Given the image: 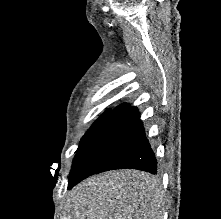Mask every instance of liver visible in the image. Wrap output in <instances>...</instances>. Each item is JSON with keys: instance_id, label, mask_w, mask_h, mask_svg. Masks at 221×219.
I'll use <instances>...</instances> for the list:
<instances>
[{"instance_id": "1", "label": "liver", "mask_w": 221, "mask_h": 219, "mask_svg": "<svg viewBox=\"0 0 221 219\" xmlns=\"http://www.w3.org/2000/svg\"><path fill=\"white\" fill-rule=\"evenodd\" d=\"M72 219H162L164 192L156 177L138 170L92 176L70 192Z\"/></svg>"}]
</instances>
